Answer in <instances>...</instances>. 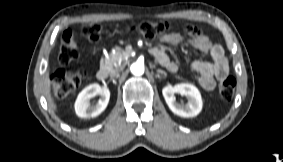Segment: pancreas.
Masks as SVG:
<instances>
[{"label":"pancreas","mask_w":283,"mask_h":162,"mask_svg":"<svg viewBox=\"0 0 283 162\" xmlns=\"http://www.w3.org/2000/svg\"><path fill=\"white\" fill-rule=\"evenodd\" d=\"M127 54V51L116 50L115 53H111L108 57L102 59L101 65L106 67L108 70H112L114 67L119 66V62L123 61Z\"/></svg>","instance_id":"obj_1"}]
</instances>
